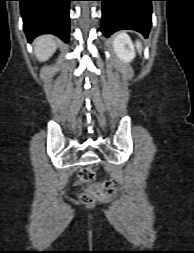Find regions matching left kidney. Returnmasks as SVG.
Here are the masks:
<instances>
[{
    "instance_id": "obj_1",
    "label": "left kidney",
    "mask_w": 194,
    "mask_h": 253,
    "mask_svg": "<svg viewBox=\"0 0 194 253\" xmlns=\"http://www.w3.org/2000/svg\"><path fill=\"white\" fill-rule=\"evenodd\" d=\"M113 48L117 57L125 63L131 62L135 57L132 42L125 33H120L114 38Z\"/></svg>"
}]
</instances>
